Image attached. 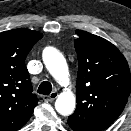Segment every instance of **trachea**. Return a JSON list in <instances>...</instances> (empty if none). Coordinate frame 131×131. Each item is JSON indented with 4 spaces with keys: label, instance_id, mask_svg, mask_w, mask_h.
Returning <instances> with one entry per match:
<instances>
[{
    "label": "trachea",
    "instance_id": "3493384b",
    "mask_svg": "<svg viewBox=\"0 0 131 131\" xmlns=\"http://www.w3.org/2000/svg\"><path fill=\"white\" fill-rule=\"evenodd\" d=\"M52 91V85L48 81H43L38 88V93L43 95H49Z\"/></svg>",
    "mask_w": 131,
    "mask_h": 131
}]
</instances>
